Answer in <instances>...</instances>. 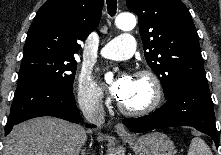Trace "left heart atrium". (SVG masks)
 Returning a JSON list of instances; mask_svg holds the SVG:
<instances>
[{"mask_svg": "<svg viewBox=\"0 0 221 155\" xmlns=\"http://www.w3.org/2000/svg\"><path fill=\"white\" fill-rule=\"evenodd\" d=\"M132 82L133 77L130 74L122 73L114 80L109 88L118 100H122L130 91Z\"/></svg>", "mask_w": 221, "mask_h": 155, "instance_id": "left-heart-atrium-1", "label": "left heart atrium"}]
</instances>
